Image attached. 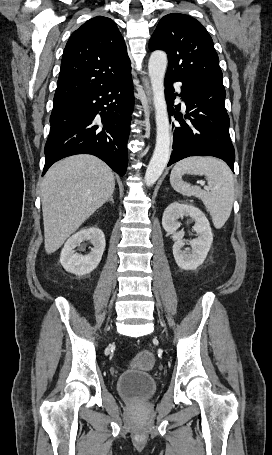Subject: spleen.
I'll list each match as a JSON object with an SVG mask.
<instances>
[{
	"instance_id": "obj_1",
	"label": "spleen",
	"mask_w": 272,
	"mask_h": 455,
	"mask_svg": "<svg viewBox=\"0 0 272 455\" xmlns=\"http://www.w3.org/2000/svg\"><path fill=\"white\" fill-rule=\"evenodd\" d=\"M185 173L205 175L208 189L203 190L182 180ZM170 183L175 191L184 196L200 198L209 211L215 228L220 229L228 220L234 201V179L230 168L212 157H188L172 169Z\"/></svg>"
}]
</instances>
